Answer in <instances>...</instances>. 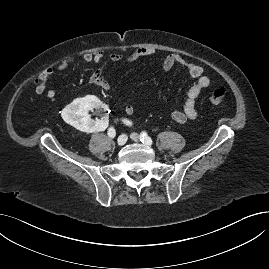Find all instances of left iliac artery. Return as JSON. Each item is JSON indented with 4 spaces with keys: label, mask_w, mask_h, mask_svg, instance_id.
Here are the masks:
<instances>
[{
    "label": "left iliac artery",
    "mask_w": 269,
    "mask_h": 269,
    "mask_svg": "<svg viewBox=\"0 0 269 269\" xmlns=\"http://www.w3.org/2000/svg\"><path fill=\"white\" fill-rule=\"evenodd\" d=\"M140 141L146 145H151L152 144V139L145 133L142 132L140 135Z\"/></svg>",
    "instance_id": "left-iliac-artery-1"
}]
</instances>
